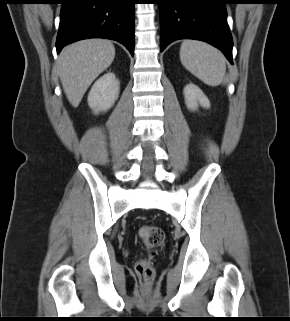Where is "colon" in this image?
<instances>
[{
  "label": "colon",
  "mask_w": 290,
  "mask_h": 321,
  "mask_svg": "<svg viewBox=\"0 0 290 321\" xmlns=\"http://www.w3.org/2000/svg\"><path fill=\"white\" fill-rule=\"evenodd\" d=\"M139 236L145 246L150 250L148 257L141 259L136 264V272L143 285L147 286L154 278L155 270L153 260L156 257L155 249L164 242L165 235L161 228L157 226H142L139 229Z\"/></svg>",
  "instance_id": "colon-1"
}]
</instances>
